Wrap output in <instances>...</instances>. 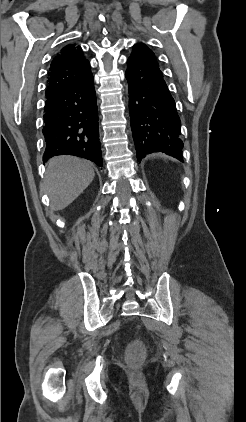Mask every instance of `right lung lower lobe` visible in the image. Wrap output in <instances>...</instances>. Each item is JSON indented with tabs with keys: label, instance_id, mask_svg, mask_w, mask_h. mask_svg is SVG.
<instances>
[{
	"label": "right lung lower lobe",
	"instance_id": "right-lung-lower-lobe-1",
	"mask_svg": "<svg viewBox=\"0 0 246 422\" xmlns=\"http://www.w3.org/2000/svg\"><path fill=\"white\" fill-rule=\"evenodd\" d=\"M43 161L75 155L102 166L93 75L46 97Z\"/></svg>",
	"mask_w": 246,
	"mask_h": 422
}]
</instances>
